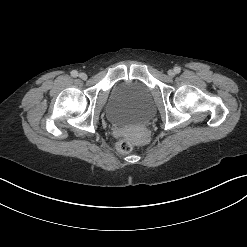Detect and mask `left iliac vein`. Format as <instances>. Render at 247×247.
<instances>
[{
	"label": "left iliac vein",
	"instance_id": "obj_1",
	"mask_svg": "<svg viewBox=\"0 0 247 247\" xmlns=\"http://www.w3.org/2000/svg\"><path fill=\"white\" fill-rule=\"evenodd\" d=\"M174 74H175V73H174L173 70H170V71L168 72V75L171 76V77L174 76Z\"/></svg>",
	"mask_w": 247,
	"mask_h": 247
}]
</instances>
